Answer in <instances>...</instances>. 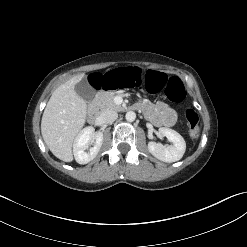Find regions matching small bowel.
Listing matches in <instances>:
<instances>
[{
	"label": "small bowel",
	"mask_w": 247,
	"mask_h": 247,
	"mask_svg": "<svg viewBox=\"0 0 247 247\" xmlns=\"http://www.w3.org/2000/svg\"><path fill=\"white\" fill-rule=\"evenodd\" d=\"M139 107L148 118L157 126H172L176 122V112L166 103L158 102L155 105L140 104Z\"/></svg>",
	"instance_id": "small-bowel-1"
}]
</instances>
